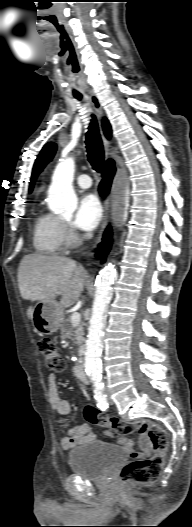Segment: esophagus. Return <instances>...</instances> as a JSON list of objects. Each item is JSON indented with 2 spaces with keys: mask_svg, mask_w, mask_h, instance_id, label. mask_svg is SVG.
<instances>
[{
  "mask_svg": "<svg viewBox=\"0 0 192 527\" xmlns=\"http://www.w3.org/2000/svg\"><path fill=\"white\" fill-rule=\"evenodd\" d=\"M90 98H91L92 104L94 106V109H95L98 117L101 119V117L103 116V110H102V106L100 104V101H99L98 97L93 92H90ZM103 142H104V146L106 148V151H108L109 141L107 140V138L104 135H103ZM103 204H104V214H103V219H102V223H101L100 235H99V238H98L94 248L100 242L102 233H103V231L105 230V228H106V226L108 224L109 200L105 199Z\"/></svg>",
  "mask_w": 192,
  "mask_h": 527,
  "instance_id": "34e87169",
  "label": "esophagus"
}]
</instances>
